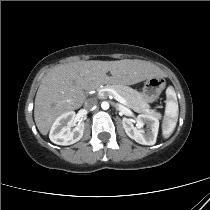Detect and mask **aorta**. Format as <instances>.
Wrapping results in <instances>:
<instances>
[{"label":"aorta","instance_id":"762f6f07","mask_svg":"<svg viewBox=\"0 0 210 210\" xmlns=\"http://www.w3.org/2000/svg\"><path fill=\"white\" fill-rule=\"evenodd\" d=\"M101 107L103 110H107V109H109V103L104 101V102H102Z\"/></svg>","mask_w":210,"mask_h":210}]
</instances>
